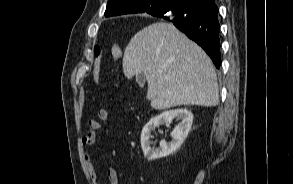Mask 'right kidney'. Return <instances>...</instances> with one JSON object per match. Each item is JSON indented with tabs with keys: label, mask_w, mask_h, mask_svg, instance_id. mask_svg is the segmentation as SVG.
<instances>
[{
	"label": "right kidney",
	"mask_w": 293,
	"mask_h": 184,
	"mask_svg": "<svg viewBox=\"0 0 293 184\" xmlns=\"http://www.w3.org/2000/svg\"><path fill=\"white\" fill-rule=\"evenodd\" d=\"M173 119L181 120V122L174 128L171 133L172 140L169 143L165 141L160 142V147H150V135L151 132L163 124H170ZM193 122V114L187 109H175L165 111L160 115L152 118L143 128L141 133V147L144 156L149 160L160 159L169 156L176 152L185 138L187 137Z\"/></svg>",
	"instance_id": "right-kidney-1"
}]
</instances>
